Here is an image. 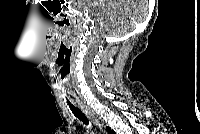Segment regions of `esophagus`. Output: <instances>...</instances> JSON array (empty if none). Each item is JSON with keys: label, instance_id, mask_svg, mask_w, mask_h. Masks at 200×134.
I'll return each mask as SVG.
<instances>
[{"label": "esophagus", "instance_id": "esophagus-1", "mask_svg": "<svg viewBox=\"0 0 200 134\" xmlns=\"http://www.w3.org/2000/svg\"><path fill=\"white\" fill-rule=\"evenodd\" d=\"M80 109L83 111V113L100 129V131H103V125L100 123V121L95 117L93 112L87 109L85 105L82 103L78 104Z\"/></svg>", "mask_w": 200, "mask_h": 134}]
</instances>
